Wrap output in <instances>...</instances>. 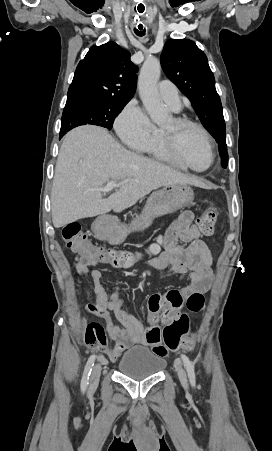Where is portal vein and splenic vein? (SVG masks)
I'll return each mask as SVG.
<instances>
[{"mask_svg": "<svg viewBox=\"0 0 272 451\" xmlns=\"http://www.w3.org/2000/svg\"><path fill=\"white\" fill-rule=\"evenodd\" d=\"M118 186H120V184H115V182H108L107 186H104V188H99V190L100 192H111L113 188H118Z\"/></svg>", "mask_w": 272, "mask_h": 451, "instance_id": "1", "label": "portal vein and splenic vein"}]
</instances>
